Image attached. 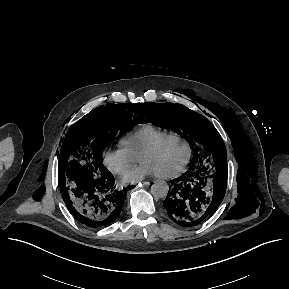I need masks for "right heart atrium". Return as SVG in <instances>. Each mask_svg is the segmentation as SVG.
Wrapping results in <instances>:
<instances>
[{
    "label": "right heart atrium",
    "instance_id": "d8ad5b80",
    "mask_svg": "<svg viewBox=\"0 0 289 289\" xmlns=\"http://www.w3.org/2000/svg\"><path fill=\"white\" fill-rule=\"evenodd\" d=\"M102 159L104 165L115 174L125 173L137 161V157L124 145L105 149Z\"/></svg>",
    "mask_w": 289,
    "mask_h": 289
}]
</instances>
